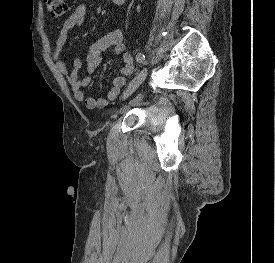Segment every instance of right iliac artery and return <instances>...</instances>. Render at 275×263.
Returning a JSON list of instances; mask_svg holds the SVG:
<instances>
[{
	"label": "right iliac artery",
	"mask_w": 275,
	"mask_h": 263,
	"mask_svg": "<svg viewBox=\"0 0 275 263\" xmlns=\"http://www.w3.org/2000/svg\"><path fill=\"white\" fill-rule=\"evenodd\" d=\"M136 60H137V62H139V63L144 62V60H145L144 54L138 53L137 56H136Z\"/></svg>",
	"instance_id": "1"
}]
</instances>
